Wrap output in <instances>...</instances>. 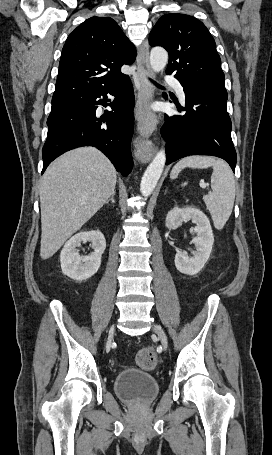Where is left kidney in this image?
Here are the masks:
<instances>
[{
    "mask_svg": "<svg viewBox=\"0 0 272 455\" xmlns=\"http://www.w3.org/2000/svg\"><path fill=\"white\" fill-rule=\"evenodd\" d=\"M192 220L196 226L192 232L197 236L193 237L196 251L192 257L184 252H177L175 255V266L183 274L195 275L204 267L207 262L214 243L212 228L207 216L195 207H174L166 216V227L177 229L182 222Z\"/></svg>",
    "mask_w": 272,
    "mask_h": 455,
    "instance_id": "1",
    "label": "left kidney"
}]
</instances>
